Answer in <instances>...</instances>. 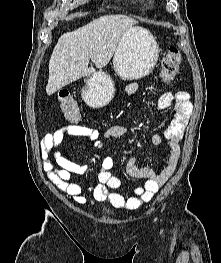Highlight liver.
Returning <instances> with one entry per match:
<instances>
[{
  "label": "liver",
  "instance_id": "obj_1",
  "mask_svg": "<svg viewBox=\"0 0 221 263\" xmlns=\"http://www.w3.org/2000/svg\"><path fill=\"white\" fill-rule=\"evenodd\" d=\"M138 21L126 15H104L75 31L61 35L49 60L46 93L51 95L62 87L95 72L89 67H105L111 60L122 36Z\"/></svg>",
  "mask_w": 221,
  "mask_h": 263
}]
</instances>
